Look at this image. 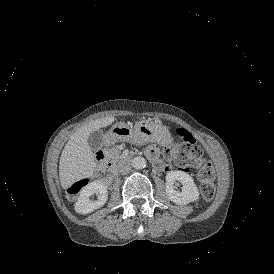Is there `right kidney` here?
I'll list each match as a JSON object with an SVG mask.
<instances>
[{
  "label": "right kidney",
  "mask_w": 274,
  "mask_h": 274,
  "mask_svg": "<svg viewBox=\"0 0 274 274\" xmlns=\"http://www.w3.org/2000/svg\"><path fill=\"white\" fill-rule=\"evenodd\" d=\"M95 194L96 200H91L90 197ZM108 198L107 187L100 181H93L84 186L80 193L79 199L75 204V210L82 214L90 213L102 207Z\"/></svg>",
  "instance_id": "1"
}]
</instances>
